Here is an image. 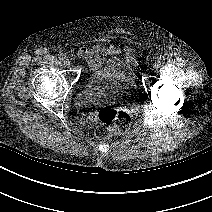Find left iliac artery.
<instances>
[{
  "label": "left iliac artery",
  "instance_id": "44dca946",
  "mask_svg": "<svg viewBox=\"0 0 212 212\" xmlns=\"http://www.w3.org/2000/svg\"><path fill=\"white\" fill-rule=\"evenodd\" d=\"M159 66H160V63H159V62H156V63L154 64V68H159Z\"/></svg>",
  "mask_w": 212,
  "mask_h": 212
}]
</instances>
